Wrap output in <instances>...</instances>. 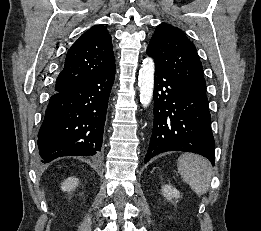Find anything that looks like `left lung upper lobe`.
<instances>
[{"label": "left lung upper lobe", "instance_id": "5c2ea615", "mask_svg": "<svg viewBox=\"0 0 261 231\" xmlns=\"http://www.w3.org/2000/svg\"><path fill=\"white\" fill-rule=\"evenodd\" d=\"M147 54L155 67L165 71L190 93L207 99L202 64L194 44L180 29L166 23L157 26Z\"/></svg>", "mask_w": 261, "mask_h": 231}]
</instances>
